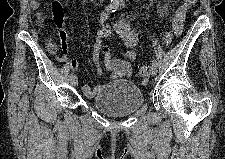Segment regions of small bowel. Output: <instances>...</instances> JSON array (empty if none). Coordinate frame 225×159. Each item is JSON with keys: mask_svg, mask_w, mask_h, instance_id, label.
Masks as SVG:
<instances>
[{"mask_svg": "<svg viewBox=\"0 0 225 159\" xmlns=\"http://www.w3.org/2000/svg\"><path fill=\"white\" fill-rule=\"evenodd\" d=\"M192 5L191 0H184L178 8L174 12L173 19V30L175 34H180L182 31L184 19L186 16V12L189 7ZM31 9L35 12L37 22L40 26L44 24V14L40 10V3L38 0H31L30 2ZM159 13L166 14L168 12V8L166 4L159 3L158 5ZM58 26L60 28L59 37L61 42V48L64 52L65 57H68V43H67V34L66 31L62 28L60 21L58 22ZM115 31L122 40V43L125 47L124 56L127 60L114 58L111 53L109 55L105 54V49L107 47L104 46V39L112 37V30L109 27H103L97 32L96 41L93 45V60L96 65L97 73L102 72L100 59L101 53L104 54L105 59V67L108 71L111 79H122L128 78L133 75V66L130 61H133L137 57L136 47L139 42L138 36L133 32L130 25L125 20H120L116 26ZM46 48L51 55L57 56L58 46L54 42L50 40H46ZM58 59H62V57L57 56ZM69 64L74 71L79 70L80 66L78 62L74 59H69ZM99 86L91 88L87 85L82 87L83 93L87 97H92L99 89Z\"/></svg>", "mask_w": 225, "mask_h": 159, "instance_id": "c3829d8e", "label": "small bowel"}]
</instances>
